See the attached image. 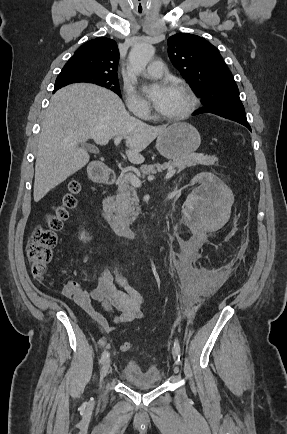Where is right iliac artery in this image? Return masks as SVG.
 <instances>
[{
    "label": "right iliac artery",
    "instance_id": "obj_1",
    "mask_svg": "<svg viewBox=\"0 0 287 434\" xmlns=\"http://www.w3.org/2000/svg\"><path fill=\"white\" fill-rule=\"evenodd\" d=\"M108 356H109L108 351H104L101 355L99 363L102 364L108 358Z\"/></svg>",
    "mask_w": 287,
    "mask_h": 434
}]
</instances>
